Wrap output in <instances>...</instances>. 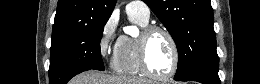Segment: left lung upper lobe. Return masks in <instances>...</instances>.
I'll use <instances>...</instances> for the list:
<instances>
[{
    "label": "left lung upper lobe",
    "mask_w": 260,
    "mask_h": 84,
    "mask_svg": "<svg viewBox=\"0 0 260 84\" xmlns=\"http://www.w3.org/2000/svg\"><path fill=\"white\" fill-rule=\"evenodd\" d=\"M174 39L178 69L174 79L219 67L210 0H144Z\"/></svg>",
    "instance_id": "5c2ea615"
}]
</instances>
